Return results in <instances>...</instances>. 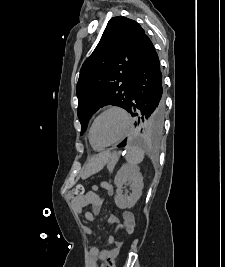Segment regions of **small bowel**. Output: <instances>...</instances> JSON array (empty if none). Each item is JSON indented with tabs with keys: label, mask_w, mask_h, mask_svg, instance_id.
<instances>
[{
	"label": "small bowel",
	"mask_w": 225,
	"mask_h": 267,
	"mask_svg": "<svg viewBox=\"0 0 225 267\" xmlns=\"http://www.w3.org/2000/svg\"><path fill=\"white\" fill-rule=\"evenodd\" d=\"M102 186L109 195L114 193V188L110 183H103ZM97 190L98 187L94 186L92 191L88 192L83 198H72V204L79 213L83 212L87 207L91 209L90 211L84 212L85 219L90 222L94 221V214L98 213L102 206V200L98 196ZM121 216L122 220L113 214L109 217L108 222L116 225L118 231L121 230L128 235L132 234L135 227V220L132 213L128 210H122ZM85 232L87 234L93 233L89 227H85ZM112 245L113 247H110ZM122 245L123 242L121 240L117 239L114 235H110L102 248L96 246L91 247L88 252L89 267H105L109 259H114L118 256Z\"/></svg>",
	"instance_id": "small-bowel-1"
}]
</instances>
